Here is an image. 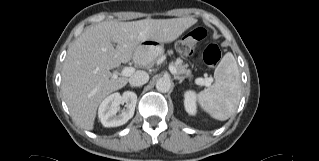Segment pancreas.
<instances>
[{
	"mask_svg": "<svg viewBox=\"0 0 319 161\" xmlns=\"http://www.w3.org/2000/svg\"><path fill=\"white\" fill-rule=\"evenodd\" d=\"M173 65L178 75H184V77L191 76V70L188 69V64H183L181 59H177Z\"/></svg>",
	"mask_w": 319,
	"mask_h": 161,
	"instance_id": "1",
	"label": "pancreas"
}]
</instances>
